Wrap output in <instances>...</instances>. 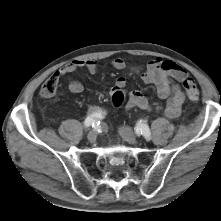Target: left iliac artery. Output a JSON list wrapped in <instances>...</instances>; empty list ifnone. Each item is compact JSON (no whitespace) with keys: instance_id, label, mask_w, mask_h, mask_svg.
<instances>
[{"instance_id":"44dca946","label":"left iliac artery","mask_w":221,"mask_h":221,"mask_svg":"<svg viewBox=\"0 0 221 221\" xmlns=\"http://www.w3.org/2000/svg\"><path fill=\"white\" fill-rule=\"evenodd\" d=\"M135 132L137 135H143L148 141L151 139V132L148 125L146 124H142L139 122L135 127Z\"/></svg>"}]
</instances>
